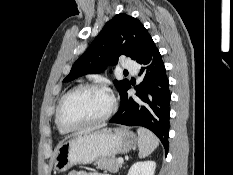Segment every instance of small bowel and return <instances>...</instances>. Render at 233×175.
<instances>
[{"label":"small bowel","instance_id":"obj_1","mask_svg":"<svg viewBox=\"0 0 233 175\" xmlns=\"http://www.w3.org/2000/svg\"><path fill=\"white\" fill-rule=\"evenodd\" d=\"M68 175H110V174L91 172V171H71Z\"/></svg>","mask_w":233,"mask_h":175}]
</instances>
